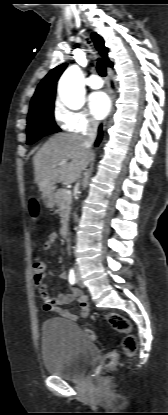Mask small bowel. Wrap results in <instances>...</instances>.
<instances>
[{
  "instance_id": "small-bowel-1",
  "label": "small bowel",
  "mask_w": 168,
  "mask_h": 415,
  "mask_svg": "<svg viewBox=\"0 0 168 415\" xmlns=\"http://www.w3.org/2000/svg\"><path fill=\"white\" fill-rule=\"evenodd\" d=\"M56 241L57 235L55 233L49 234V236L43 244V249L49 250ZM44 270L46 273V266L44 267ZM48 275L51 279L54 278V274L51 271H48ZM59 278L68 285V290L61 292L59 295L53 298L50 297L47 293V290L43 283L44 279H42L40 283H35L37 291L41 297L44 310L55 312L59 316L72 322H76L79 319L86 318L89 314V307L86 296L79 289L71 287L69 285V275L67 274V272H61L59 274ZM74 301L77 303V306L79 308L78 315L71 313L68 309L64 307L65 305Z\"/></svg>"
}]
</instances>
